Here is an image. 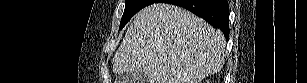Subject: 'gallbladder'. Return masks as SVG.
<instances>
[{
	"mask_svg": "<svg viewBox=\"0 0 307 83\" xmlns=\"http://www.w3.org/2000/svg\"><path fill=\"white\" fill-rule=\"evenodd\" d=\"M148 78L145 73L143 72H132L129 74H124L122 76V79L119 80L122 81V83H147Z\"/></svg>",
	"mask_w": 307,
	"mask_h": 83,
	"instance_id": "1",
	"label": "gallbladder"
}]
</instances>
